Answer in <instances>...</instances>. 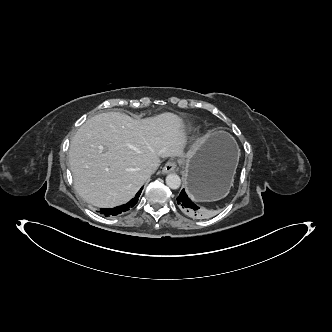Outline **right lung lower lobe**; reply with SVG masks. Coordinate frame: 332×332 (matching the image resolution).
<instances>
[{
	"label": "right lung lower lobe",
	"mask_w": 332,
	"mask_h": 332,
	"mask_svg": "<svg viewBox=\"0 0 332 332\" xmlns=\"http://www.w3.org/2000/svg\"><path fill=\"white\" fill-rule=\"evenodd\" d=\"M141 191H142V188L138 191L136 196L133 199H131L128 203L121 205V206H117L115 208L101 209V213L104 214L105 216H115L120 213L126 212L127 210L132 208L137 203L138 198L141 194Z\"/></svg>",
	"instance_id": "1"
}]
</instances>
